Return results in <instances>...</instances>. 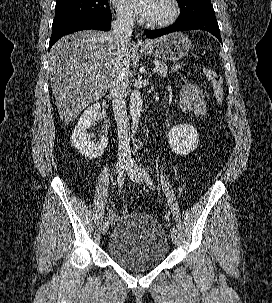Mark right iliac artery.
Masks as SVG:
<instances>
[{
  "label": "right iliac artery",
  "mask_w": 272,
  "mask_h": 303,
  "mask_svg": "<svg viewBox=\"0 0 272 303\" xmlns=\"http://www.w3.org/2000/svg\"><path fill=\"white\" fill-rule=\"evenodd\" d=\"M122 175H123V174L119 175L118 178H117L118 186H119V192L121 191V189H122V187H123L124 178H123ZM105 219H106V218H105ZM104 223H108V221L105 220Z\"/></svg>",
  "instance_id": "obj_1"
}]
</instances>
